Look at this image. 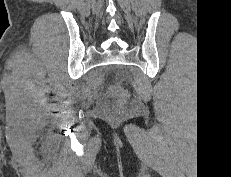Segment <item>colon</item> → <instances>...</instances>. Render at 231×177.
I'll return each instance as SVG.
<instances>
[{"mask_svg": "<svg viewBox=\"0 0 231 177\" xmlns=\"http://www.w3.org/2000/svg\"><path fill=\"white\" fill-rule=\"evenodd\" d=\"M110 92L119 100L125 99L128 95L127 91L120 85H112L110 88Z\"/></svg>", "mask_w": 231, "mask_h": 177, "instance_id": "1", "label": "colon"}]
</instances>
